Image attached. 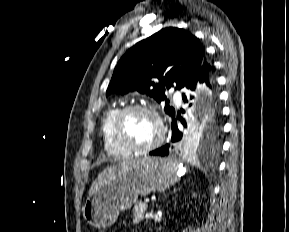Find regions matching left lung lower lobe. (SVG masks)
Segmentation results:
<instances>
[{"label":"left lung lower lobe","instance_id":"1","mask_svg":"<svg viewBox=\"0 0 289 232\" xmlns=\"http://www.w3.org/2000/svg\"><path fill=\"white\" fill-rule=\"evenodd\" d=\"M204 83L206 87L209 89V95L213 100V107L208 113V117H213L214 114L218 113L220 118V110L218 105L216 104L217 101V92H216V82L214 77V68L211 65V63L205 58L202 65L198 69V71L195 73L191 81L184 87L188 90L193 91L196 87L197 83ZM182 98L184 102H188V100H191L193 98L192 94H183ZM207 117V118H208ZM172 137L171 142L172 145L166 144L165 146L156 149L154 151H151L149 154L152 156H167L170 151H187L183 147L182 138L183 133L178 129L177 121L175 119L172 120Z\"/></svg>","mask_w":289,"mask_h":232}]
</instances>
